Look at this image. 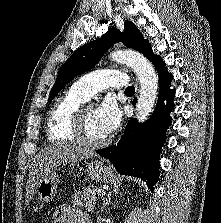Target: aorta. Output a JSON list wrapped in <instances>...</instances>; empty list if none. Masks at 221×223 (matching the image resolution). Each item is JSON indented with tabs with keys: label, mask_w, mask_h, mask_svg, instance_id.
Returning a JSON list of instances; mask_svg holds the SVG:
<instances>
[{
	"label": "aorta",
	"mask_w": 221,
	"mask_h": 223,
	"mask_svg": "<svg viewBox=\"0 0 221 223\" xmlns=\"http://www.w3.org/2000/svg\"><path fill=\"white\" fill-rule=\"evenodd\" d=\"M113 61L130 66L139 80V97L136 117L139 122L148 118L157 96L158 79L151 63L140 53L132 50H117L110 54Z\"/></svg>",
	"instance_id": "1"
}]
</instances>
